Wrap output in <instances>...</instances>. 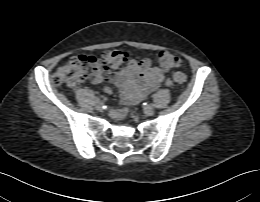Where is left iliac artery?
Here are the masks:
<instances>
[{"mask_svg":"<svg viewBox=\"0 0 260 202\" xmlns=\"http://www.w3.org/2000/svg\"><path fill=\"white\" fill-rule=\"evenodd\" d=\"M144 104V106H147V105H152L151 103H149V102H145V103H143Z\"/></svg>","mask_w":260,"mask_h":202,"instance_id":"obj_1","label":"left iliac artery"}]
</instances>
